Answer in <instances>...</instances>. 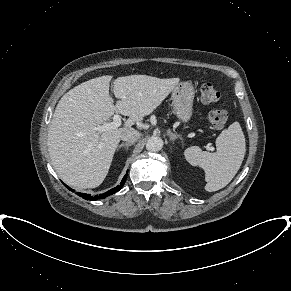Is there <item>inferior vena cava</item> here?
<instances>
[{
	"label": "inferior vena cava",
	"mask_w": 291,
	"mask_h": 291,
	"mask_svg": "<svg viewBox=\"0 0 291 291\" xmlns=\"http://www.w3.org/2000/svg\"><path fill=\"white\" fill-rule=\"evenodd\" d=\"M141 137V133L133 128L127 129L126 131H124L120 138L123 141H126L128 143H135L136 141H138Z\"/></svg>",
	"instance_id": "obj_1"
}]
</instances>
